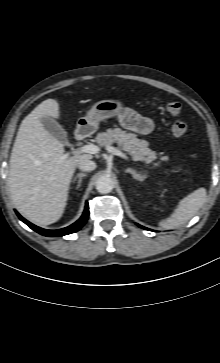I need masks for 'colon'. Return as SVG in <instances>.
I'll return each instance as SVG.
<instances>
[{
    "label": "colon",
    "instance_id": "5ec220e1",
    "mask_svg": "<svg viewBox=\"0 0 220 363\" xmlns=\"http://www.w3.org/2000/svg\"><path fill=\"white\" fill-rule=\"evenodd\" d=\"M165 108L170 115L177 116L181 112L182 107L178 101H169L166 103ZM171 130L176 137L182 138L187 134L188 126L184 121L175 120Z\"/></svg>",
    "mask_w": 220,
    "mask_h": 363
}]
</instances>
